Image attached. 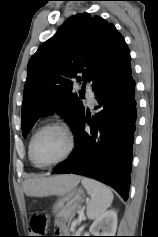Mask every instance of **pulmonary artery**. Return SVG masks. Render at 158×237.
<instances>
[{
    "mask_svg": "<svg viewBox=\"0 0 158 237\" xmlns=\"http://www.w3.org/2000/svg\"><path fill=\"white\" fill-rule=\"evenodd\" d=\"M88 92H89V96H90L91 98H93V93H92V91H91V90H88ZM92 103H93V101L90 100V101H89V104L92 105Z\"/></svg>",
    "mask_w": 158,
    "mask_h": 237,
    "instance_id": "pulmonary-artery-1",
    "label": "pulmonary artery"
}]
</instances>
